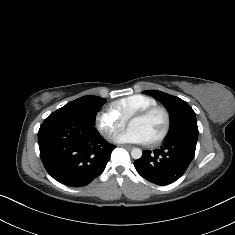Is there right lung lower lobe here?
I'll list each match as a JSON object with an SVG mask.
<instances>
[{
	"instance_id": "98d812e1",
	"label": "right lung lower lobe",
	"mask_w": 235,
	"mask_h": 235,
	"mask_svg": "<svg viewBox=\"0 0 235 235\" xmlns=\"http://www.w3.org/2000/svg\"><path fill=\"white\" fill-rule=\"evenodd\" d=\"M38 142L50 176L72 187L85 186L99 176L116 147L94 126L53 113L40 126Z\"/></svg>"
}]
</instances>
